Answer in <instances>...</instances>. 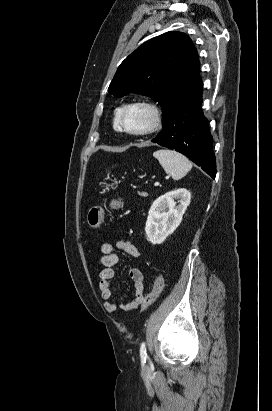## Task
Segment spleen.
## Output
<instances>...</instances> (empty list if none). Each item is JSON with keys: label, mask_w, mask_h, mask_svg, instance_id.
I'll return each mask as SVG.
<instances>
[{"label": "spleen", "mask_w": 272, "mask_h": 411, "mask_svg": "<svg viewBox=\"0 0 272 411\" xmlns=\"http://www.w3.org/2000/svg\"><path fill=\"white\" fill-rule=\"evenodd\" d=\"M153 156L159 161L165 172L174 180H180L192 168V163L188 158L173 150H157L153 153Z\"/></svg>", "instance_id": "1"}]
</instances>
